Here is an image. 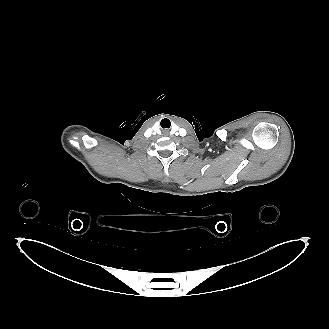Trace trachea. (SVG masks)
Instances as JSON below:
<instances>
[{
  "label": "trachea",
  "instance_id": "1",
  "mask_svg": "<svg viewBox=\"0 0 329 329\" xmlns=\"http://www.w3.org/2000/svg\"><path fill=\"white\" fill-rule=\"evenodd\" d=\"M161 126H162V128H169L170 127V125H171V122H170V120L169 119H163L162 121H161Z\"/></svg>",
  "mask_w": 329,
  "mask_h": 329
}]
</instances>
